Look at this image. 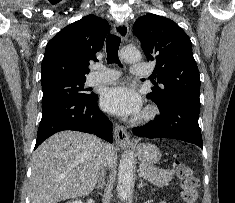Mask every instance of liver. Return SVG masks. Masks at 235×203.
I'll return each mask as SVG.
<instances>
[{
  "label": "liver",
  "instance_id": "1",
  "mask_svg": "<svg viewBox=\"0 0 235 203\" xmlns=\"http://www.w3.org/2000/svg\"><path fill=\"white\" fill-rule=\"evenodd\" d=\"M103 146L109 166L116 149L94 135L62 131L44 141L32 157V203H58L89 194L99 178Z\"/></svg>",
  "mask_w": 235,
  "mask_h": 203
}]
</instances>
